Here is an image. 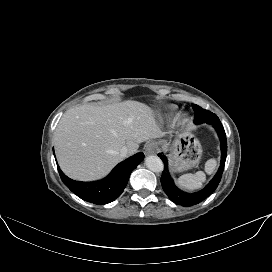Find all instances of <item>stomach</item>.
I'll return each mask as SVG.
<instances>
[{
  "label": "stomach",
  "instance_id": "1",
  "mask_svg": "<svg viewBox=\"0 0 272 272\" xmlns=\"http://www.w3.org/2000/svg\"><path fill=\"white\" fill-rule=\"evenodd\" d=\"M201 156L202 147L198 139L191 132L185 131L178 135L170 147L171 169L174 172L190 169L199 163Z\"/></svg>",
  "mask_w": 272,
  "mask_h": 272
}]
</instances>
